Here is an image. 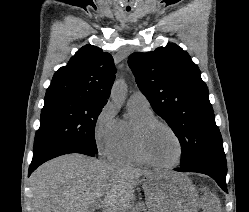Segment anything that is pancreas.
<instances>
[{
	"mask_svg": "<svg viewBox=\"0 0 249 212\" xmlns=\"http://www.w3.org/2000/svg\"><path fill=\"white\" fill-rule=\"evenodd\" d=\"M136 210L137 212H147L145 208V204H141V206H137Z\"/></svg>",
	"mask_w": 249,
	"mask_h": 212,
	"instance_id": "obj_1",
	"label": "pancreas"
}]
</instances>
